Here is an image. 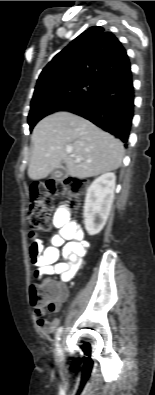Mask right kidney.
<instances>
[{
  "mask_svg": "<svg viewBox=\"0 0 155 395\" xmlns=\"http://www.w3.org/2000/svg\"><path fill=\"white\" fill-rule=\"evenodd\" d=\"M115 181L114 173H105L87 189L83 217L91 236L98 234L106 224L114 200Z\"/></svg>",
  "mask_w": 155,
  "mask_h": 395,
  "instance_id": "obj_1",
  "label": "right kidney"
}]
</instances>
